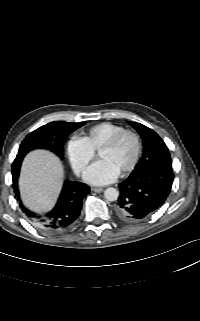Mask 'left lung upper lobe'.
Returning <instances> with one entry per match:
<instances>
[{"instance_id": "5c2ea615", "label": "left lung upper lobe", "mask_w": 200, "mask_h": 321, "mask_svg": "<svg viewBox=\"0 0 200 321\" xmlns=\"http://www.w3.org/2000/svg\"><path fill=\"white\" fill-rule=\"evenodd\" d=\"M129 124L140 134L144 145L143 155L135 169L149 166L171 167L168 148L159 135L140 123L129 122Z\"/></svg>"}]
</instances>
